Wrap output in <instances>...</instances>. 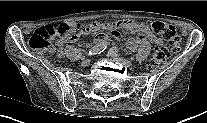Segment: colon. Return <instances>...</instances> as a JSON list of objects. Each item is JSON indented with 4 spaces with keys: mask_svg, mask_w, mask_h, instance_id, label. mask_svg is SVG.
Returning a JSON list of instances; mask_svg holds the SVG:
<instances>
[{
    "mask_svg": "<svg viewBox=\"0 0 207 123\" xmlns=\"http://www.w3.org/2000/svg\"><path fill=\"white\" fill-rule=\"evenodd\" d=\"M149 26L153 32L161 35L167 41V44L155 50L149 60V66L153 69L158 68L171 55L181 51V38L177 34L175 28L163 21H151ZM77 26L74 23H61L57 26L46 25L34 31L29 39L31 48L40 51L53 52L54 48L51 44L52 39L58 35L62 38L72 39L76 37Z\"/></svg>",
    "mask_w": 207,
    "mask_h": 123,
    "instance_id": "1",
    "label": "colon"
}]
</instances>
